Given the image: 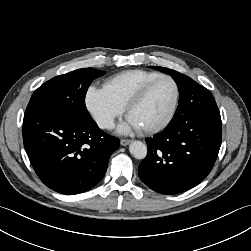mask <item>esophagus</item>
Here are the masks:
<instances>
[{"instance_id": "34e87169", "label": "esophagus", "mask_w": 251, "mask_h": 251, "mask_svg": "<svg viewBox=\"0 0 251 251\" xmlns=\"http://www.w3.org/2000/svg\"><path fill=\"white\" fill-rule=\"evenodd\" d=\"M130 142H131V140H129V139H122L120 141L122 146H127Z\"/></svg>"}]
</instances>
